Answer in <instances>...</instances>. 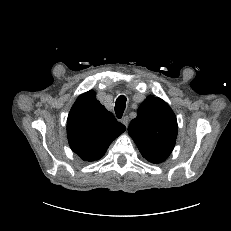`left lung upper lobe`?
<instances>
[{"mask_svg":"<svg viewBox=\"0 0 231 231\" xmlns=\"http://www.w3.org/2000/svg\"><path fill=\"white\" fill-rule=\"evenodd\" d=\"M177 119L162 99L148 96L138 108V115L128 127L129 135L142 156L152 163L165 161L174 149Z\"/></svg>","mask_w":231,"mask_h":231,"instance_id":"1","label":"left lung upper lobe"}]
</instances>
